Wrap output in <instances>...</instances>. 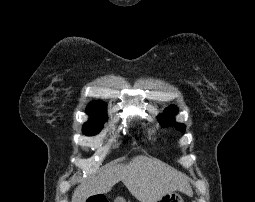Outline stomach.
<instances>
[{
	"label": "stomach",
	"instance_id": "obj_1",
	"mask_svg": "<svg viewBox=\"0 0 255 202\" xmlns=\"http://www.w3.org/2000/svg\"><path fill=\"white\" fill-rule=\"evenodd\" d=\"M114 202H126L123 198L117 197ZM156 202H184L179 190H173L161 196Z\"/></svg>",
	"mask_w": 255,
	"mask_h": 202
}]
</instances>
